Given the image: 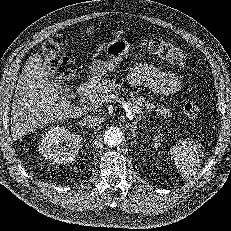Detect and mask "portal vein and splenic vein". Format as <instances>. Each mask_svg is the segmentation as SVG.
I'll return each mask as SVG.
<instances>
[{
  "label": "portal vein and splenic vein",
  "mask_w": 231,
  "mask_h": 231,
  "mask_svg": "<svg viewBox=\"0 0 231 231\" xmlns=\"http://www.w3.org/2000/svg\"><path fill=\"white\" fill-rule=\"evenodd\" d=\"M108 98L110 100H113V101H116V102H119L122 104V107L124 108L125 112H126V116L129 120H132L134 115H135V111H133L131 108H130V102H127L125 101L124 99L118 97V96H115V95H110L108 96ZM97 105H101V104H97Z\"/></svg>",
  "instance_id": "obj_1"
}]
</instances>
